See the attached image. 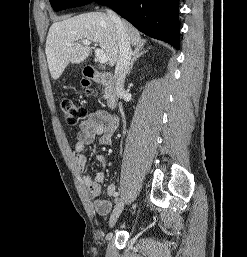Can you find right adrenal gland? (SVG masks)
I'll return each mask as SVG.
<instances>
[{
  "label": "right adrenal gland",
  "instance_id": "2a0ac1e0",
  "mask_svg": "<svg viewBox=\"0 0 247 257\" xmlns=\"http://www.w3.org/2000/svg\"><path fill=\"white\" fill-rule=\"evenodd\" d=\"M148 50H145L144 49V44H139V45H136L135 49H134V52H133V57H132V60H131V63H130V67L128 69V72H127V75L130 74L132 68H133V65L135 63V61L137 60V58H139L140 56H142L143 54L147 53Z\"/></svg>",
  "mask_w": 247,
  "mask_h": 257
}]
</instances>
